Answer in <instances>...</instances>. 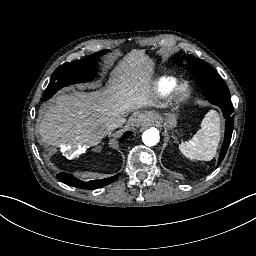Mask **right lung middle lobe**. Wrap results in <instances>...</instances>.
<instances>
[{
    "label": "right lung middle lobe",
    "instance_id": "right-lung-middle-lobe-1",
    "mask_svg": "<svg viewBox=\"0 0 256 256\" xmlns=\"http://www.w3.org/2000/svg\"><path fill=\"white\" fill-rule=\"evenodd\" d=\"M105 52L102 50L81 60L67 62L59 66L52 74L44 98L46 100L51 98L63 86L90 81L94 73L93 59L105 54Z\"/></svg>",
    "mask_w": 256,
    "mask_h": 256
}]
</instances>
